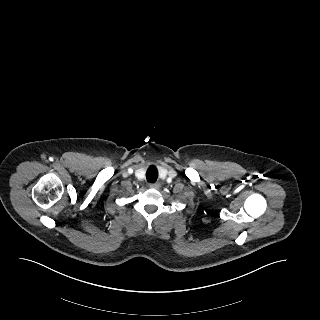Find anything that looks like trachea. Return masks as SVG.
Listing matches in <instances>:
<instances>
[{
	"label": "trachea",
	"mask_w": 320,
	"mask_h": 320,
	"mask_svg": "<svg viewBox=\"0 0 320 320\" xmlns=\"http://www.w3.org/2000/svg\"><path fill=\"white\" fill-rule=\"evenodd\" d=\"M158 178V173L156 169L154 168H149L148 171L146 172V179L148 182L154 183Z\"/></svg>",
	"instance_id": "obj_1"
}]
</instances>
